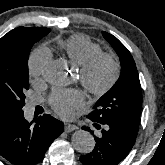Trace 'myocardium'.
Listing matches in <instances>:
<instances>
[{"instance_id":"1","label":"myocardium","mask_w":165,"mask_h":165,"mask_svg":"<svg viewBox=\"0 0 165 165\" xmlns=\"http://www.w3.org/2000/svg\"><path fill=\"white\" fill-rule=\"evenodd\" d=\"M102 63H107L109 65L110 73L104 82L99 83L95 76ZM120 72V62L114 54L108 52H99L92 56L82 66H80V82L91 94L102 96L115 86L119 79Z\"/></svg>"}]
</instances>
